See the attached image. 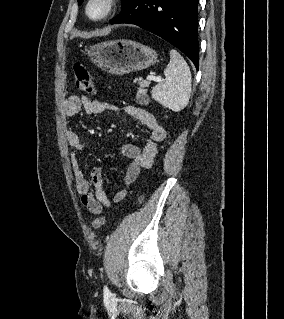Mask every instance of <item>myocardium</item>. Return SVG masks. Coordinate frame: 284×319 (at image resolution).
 <instances>
[{"instance_id":"obj_1","label":"myocardium","mask_w":284,"mask_h":319,"mask_svg":"<svg viewBox=\"0 0 284 319\" xmlns=\"http://www.w3.org/2000/svg\"><path fill=\"white\" fill-rule=\"evenodd\" d=\"M96 0H87L86 4H85V15L86 17L93 21V22H101L104 21L106 19H108L115 11L117 4H118V0H103L104 4H105V9L104 12L97 17H94L90 14V6L95 2Z\"/></svg>"}]
</instances>
